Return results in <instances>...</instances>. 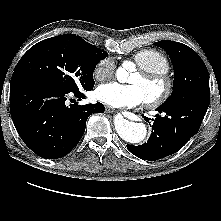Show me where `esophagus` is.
Segmentation results:
<instances>
[{"instance_id":"esophagus-1","label":"esophagus","mask_w":221,"mask_h":221,"mask_svg":"<svg viewBox=\"0 0 221 221\" xmlns=\"http://www.w3.org/2000/svg\"><path fill=\"white\" fill-rule=\"evenodd\" d=\"M106 112L107 113H112V112H114V109L112 107H110V106H107L106 107ZM120 112H122V111H120Z\"/></svg>"}]
</instances>
